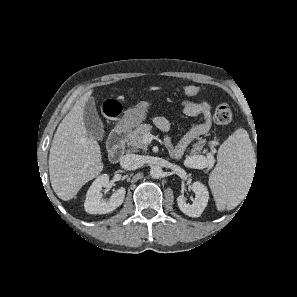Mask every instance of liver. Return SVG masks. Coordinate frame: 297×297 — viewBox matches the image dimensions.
<instances>
[{
	"label": "liver",
	"instance_id": "obj_1",
	"mask_svg": "<svg viewBox=\"0 0 297 297\" xmlns=\"http://www.w3.org/2000/svg\"><path fill=\"white\" fill-rule=\"evenodd\" d=\"M92 90L85 93L59 124L49 154V175L56 195L71 200L103 170L101 149L88 135L83 121L84 107Z\"/></svg>",
	"mask_w": 297,
	"mask_h": 297
}]
</instances>
